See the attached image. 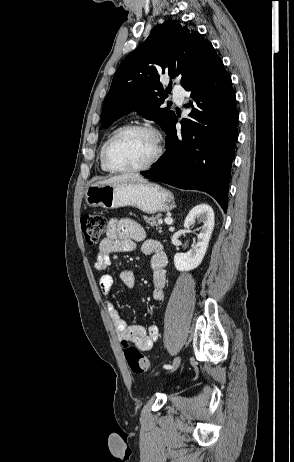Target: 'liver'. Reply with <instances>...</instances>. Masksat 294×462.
<instances>
[{"instance_id":"6515ba94","label":"liver","mask_w":294,"mask_h":462,"mask_svg":"<svg viewBox=\"0 0 294 462\" xmlns=\"http://www.w3.org/2000/svg\"><path fill=\"white\" fill-rule=\"evenodd\" d=\"M124 181H137V182H146V180L138 174H123L111 177L109 179L99 181L97 184H112L117 182H124Z\"/></svg>"}]
</instances>
